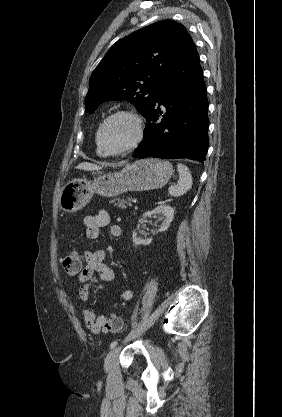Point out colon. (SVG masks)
<instances>
[{
  "label": "colon",
  "mask_w": 282,
  "mask_h": 417,
  "mask_svg": "<svg viewBox=\"0 0 282 417\" xmlns=\"http://www.w3.org/2000/svg\"><path fill=\"white\" fill-rule=\"evenodd\" d=\"M82 256L75 253H69L63 258L62 265L67 275L76 277L81 274L84 269L82 264ZM107 329L110 332H117L120 330L122 321L117 314H111L107 320Z\"/></svg>",
  "instance_id": "5ec220e1"
}]
</instances>
